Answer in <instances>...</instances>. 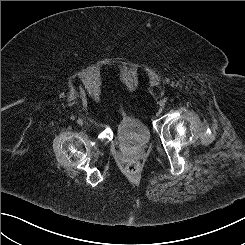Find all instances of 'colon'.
I'll use <instances>...</instances> for the list:
<instances>
[{
	"label": "colon",
	"mask_w": 245,
	"mask_h": 245,
	"mask_svg": "<svg viewBox=\"0 0 245 245\" xmlns=\"http://www.w3.org/2000/svg\"><path fill=\"white\" fill-rule=\"evenodd\" d=\"M140 166L139 163L136 161H130L127 165H126V171L129 174H134L139 170Z\"/></svg>",
	"instance_id": "colon-1"
}]
</instances>
